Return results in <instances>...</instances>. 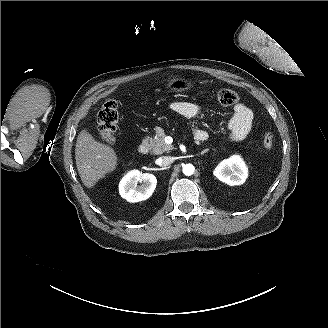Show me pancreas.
<instances>
[{"label": "pancreas", "instance_id": "1", "mask_svg": "<svg viewBox=\"0 0 328 328\" xmlns=\"http://www.w3.org/2000/svg\"><path fill=\"white\" fill-rule=\"evenodd\" d=\"M156 136L154 138L147 137V141L150 145V150L156 154H162L164 152H170L174 149L173 145H168L165 143V130L161 127H155Z\"/></svg>", "mask_w": 328, "mask_h": 328}]
</instances>
